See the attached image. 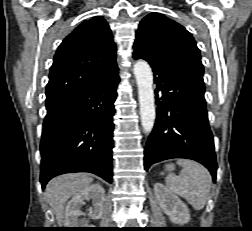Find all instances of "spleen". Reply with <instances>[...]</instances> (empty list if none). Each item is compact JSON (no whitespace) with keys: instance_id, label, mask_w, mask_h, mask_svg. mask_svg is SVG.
I'll return each mask as SVG.
<instances>
[{"instance_id":"obj_1","label":"spleen","mask_w":252,"mask_h":231,"mask_svg":"<svg viewBox=\"0 0 252 231\" xmlns=\"http://www.w3.org/2000/svg\"><path fill=\"white\" fill-rule=\"evenodd\" d=\"M177 164L183 168L179 176L169 174L166 177L167 187L184 198L195 210L203 209L209 198L212 183L208 170L188 159H178Z\"/></svg>"}]
</instances>
